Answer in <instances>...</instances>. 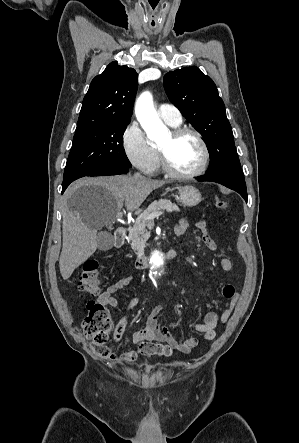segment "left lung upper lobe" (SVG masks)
Segmentation results:
<instances>
[{"label":"left lung upper lobe","mask_w":299,"mask_h":443,"mask_svg":"<svg viewBox=\"0 0 299 443\" xmlns=\"http://www.w3.org/2000/svg\"><path fill=\"white\" fill-rule=\"evenodd\" d=\"M170 101L204 137L210 155L207 175L244 176L225 106L212 79L199 68L185 67L164 76Z\"/></svg>","instance_id":"1"}]
</instances>
